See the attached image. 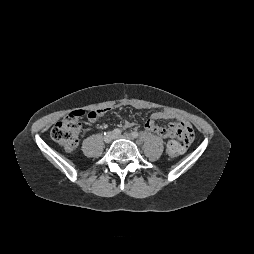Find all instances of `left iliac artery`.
<instances>
[{
	"label": "left iliac artery",
	"instance_id": "obj_1",
	"mask_svg": "<svg viewBox=\"0 0 254 254\" xmlns=\"http://www.w3.org/2000/svg\"><path fill=\"white\" fill-rule=\"evenodd\" d=\"M132 136L134 137V138H137V137H139V134H138V132H132Z\"/></svg>",
	"mask_w": 254,
	"mask_h": 254
}]
</instances>
